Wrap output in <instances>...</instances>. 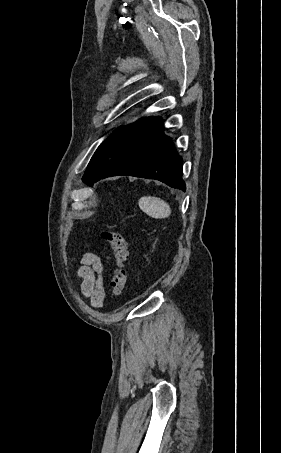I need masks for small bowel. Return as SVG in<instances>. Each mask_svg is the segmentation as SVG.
<instances>
[{"label":"small bowel","mask_w":281,"mask_h":453,"mask_svg":"<svg viewBox=\"0 0 281 453\" xmlns=\"http://www.w3.org/2000/svg\"><path fill=\"white\" fill-rule=\"evenodd\" d=\"M102 270L101 259L95 254H86L83 257L82 265L78 269L81 292L90 300L94 308H101L106 295L101 277Z\"/></svg>","instance_id":"c3829d8e"}]
</instances>
